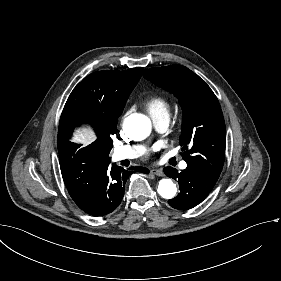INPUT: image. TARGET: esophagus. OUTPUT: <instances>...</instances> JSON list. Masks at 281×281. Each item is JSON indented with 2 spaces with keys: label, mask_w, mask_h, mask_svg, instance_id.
I'll list each match as a JSON object with an SVG mask.
<instances>
[{
  "label": "esophagus",
  "mask_w": 281,
  "mask_h": 281,
  "mask_svg": "<svg viewBox=\"0 0 281 281\" xmlns=\"http://www.w3.org/2000/svg\"><path fill=\"white\" fill-rule=\"evenodd\" d=\"M150 173L160 177L164 176V172L162 169H152L150 170Z\"/></svg>",
  "instance_id": "obj_1"
}]
</instances>
